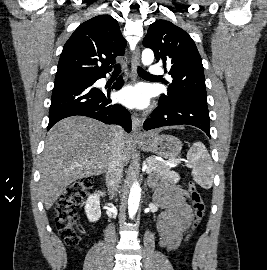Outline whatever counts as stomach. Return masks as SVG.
I'll return each mask as SVG.
<instances>
[{"mask_svg": "<svg viewBox=\"0 0 267 270\" xmlns=\"http://www.w3.org/2000/svg\"><path fill=\"white\" fill-rule=\"evenodd\" d=\"M148 138L143 142V148L146 151L152 152L160 157L172 159L179 155L182 149L181 141L172 135L155 134L148 135Z\"/></svg>", "mask_w": 267, "mask_h": 270, "instance_id": "1", "label": "stomach"}]
</instances>
